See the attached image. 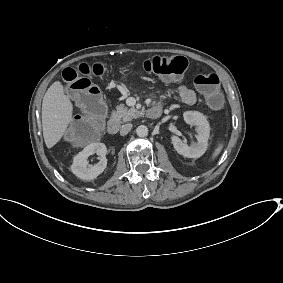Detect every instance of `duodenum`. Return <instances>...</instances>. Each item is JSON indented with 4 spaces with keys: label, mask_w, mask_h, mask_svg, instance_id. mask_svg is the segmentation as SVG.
I'll return each instance as SVG.
<instances>
[{
    "label": "duodenum",
    "mask_w": 283,
    "mask_h": 283,
    "mask_svg": "<svg viewBox=\"0 0 283 283\" xmlns=\"http://www.w3.org/2000/svg\"><path fill=\"white\" fill-rule=\"evenodd\" d=\"M145 115L150 119H157L162 115V107L159 105L152 106L147 109ZM106 130L110 135L116 134L119 130V123L114 119L109 120L107 122Z\"/></svg>",
    "instance_id": "obj_1"
}]
</instances>
